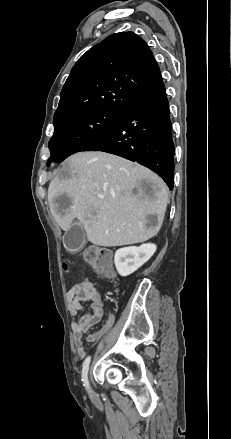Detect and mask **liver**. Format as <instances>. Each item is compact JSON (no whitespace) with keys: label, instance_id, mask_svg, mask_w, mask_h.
<instances>
[{"label":"liver","instance_id":"liver-1","mask_svg":"<svg viewBox=\"0 0 231 439\" xmlns=\"http://www.w3.org/2000/svg\"><path fill=\"white\" fill-rule=\"evenodd\" d=\"M48 203L62 230L68 231L77 218L91 243L122 246L158 233L168 190L146 167L105 152H79L63 163L50 182ZM149 215L157 217L156 225H148Z\"/></svg>","mask_w":231,"mask_h":439}]
</instances>
